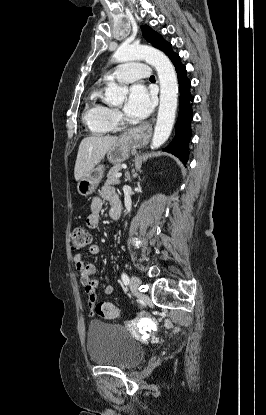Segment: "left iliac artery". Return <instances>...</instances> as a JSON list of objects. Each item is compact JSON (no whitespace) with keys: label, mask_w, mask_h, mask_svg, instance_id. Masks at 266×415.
<instances>
[{"label":"left iliac artery","mask_w":266,"mask_h":415,"mask_svg":"<svg viewBox=\"0 0 266 415\" xmlns=\"http://www.w3.org/2000/svg\"><path fill=\"white\" fill-rule=\"evenodd\" d=\"M121 278H122V281L125 285L129 284V277L126 273H122Z\"/></svg>","instance_id":"1"}]
</instances>
